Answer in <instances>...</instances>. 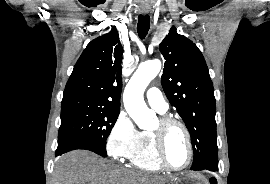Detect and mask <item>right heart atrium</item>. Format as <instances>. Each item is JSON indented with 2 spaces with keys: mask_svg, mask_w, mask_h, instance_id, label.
<instances>
[{
  "mask_svg": "<svg viewBox=\"0 0 270 184\" xmlns=\"http://www.w3.org/2000/svg\"><path fill=\"white\" fill-rule=\"evenodd\" d=\"M140 132L132 119L120 112L112 124L106 139V150L110 157L123 161L128 159L137 146Z\"/></svg>",
  "mask_w": 270,
  "mask_h": 184,
  "instance_id": "obj_1",
  "label": "right heart atrium"
}]
</instances>
